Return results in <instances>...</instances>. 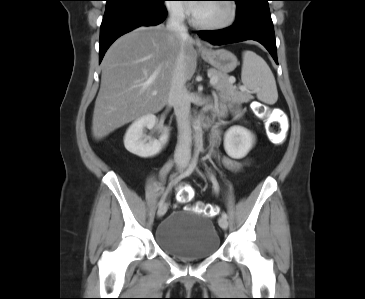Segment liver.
Listing matches in <instances>:
<instances>
[{
    "mask_svg": "<svg viewBox=\"0 0 365 299\" xmlns=\"http://www.w3.org/2000/svg\"><path fill=\"white\" fill-rule=\"evenodd\" d=\"M194 44L199 45L200 41L190 36L181 39L163 25L139 27L117 39L102 61L101 85L92 119L93 137L102 139L135 119L161 111L168 101L181 52L186 81L195 73Z\"/></svg>",
    "mask_w": 365,
    "mask_h": 299,
    "instance_id": "liver-1",
    "label": "liver"
}]
</instances>
